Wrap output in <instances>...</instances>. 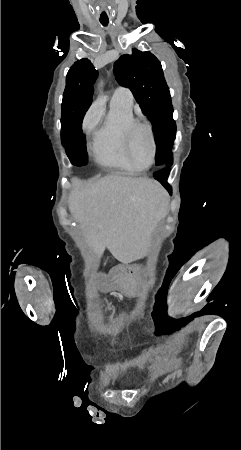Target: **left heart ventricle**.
I'll list each match as a JSON object with an SVG mask.
<instances>
[{
  "label": "left heart ventricle",
  "mask_w": 241,
  "mask_h": 450,
  "mask_svg": "<svg viewBox=\"0 0 241 450\" xmlns=\"http://www.w3.org/2000/svg\"><path fill=\"white\" fill-rule=\"evenodd\" d=\"M146 122V121H143ZM148 124V122H146ZM136 129H138L139 137H141L142 140H134L132 143V149L134 151V155L136 157H140L139 162L141 165H148L150 162L149 157L147 156V145L144 144V140L146 137H150L149 135H145L144 131L145 130H152L150 127H148V125L146 127H143L144 130H142L139 127H135Z\"/></svg>",
  "instance_id": "b2bd125f"
}]
</instances>
